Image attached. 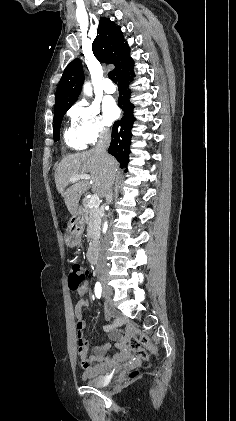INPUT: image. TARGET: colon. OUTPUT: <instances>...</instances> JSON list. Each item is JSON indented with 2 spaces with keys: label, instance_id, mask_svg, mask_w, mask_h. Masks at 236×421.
<instances>
[{
  "label": "colon",
  "instance_id": "colon-1",
  "mask_svg": "<svg viewBox=\"0 0 236 421\" xmlns=\"http://www.w3.org/2000/svg\"><path fill=\"white\" fill-rule=\"evenodd\" d=\"M88 277V270L79 264H74L71 266L68 274V284L72 291L79 292L86 284ZM83 342L79 339V353L84 350ZM129 347L130 349L141 359L147 360L149 354H155L156 348L152 345L149 337L137 330L129 338ZM138 375L137 371H131L128 373L126 379L132 380Z\"/></svg>",
  "mask_w": 236,
  "mask_h": 421
}]
</instances>
